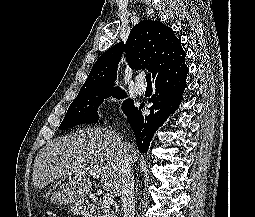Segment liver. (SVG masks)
I'll return each mask as SVG.
<instances>
[{
	"label": "liver",
	"instance_id": "6515ba94",
	"mask_svg": "<svg viewBox=\"0 0 255 217\" xmlns=\"http://www.w3.org/2000/svg\"><path fill=\"white\" fill-rule=\"evenodd\" d=\"M121 147H130V164L138 160L137 151L108 128L90 127L61 137L43 147L36 156L32 186L42 191L75 166L73 176L69 175V180L51 196L52 203L83 202L91 189L90 171L100 176L105 191L118 195Z\"/></svg>",
	"mask_w": 255,
	"mask_h": 217
}]
</instances>
